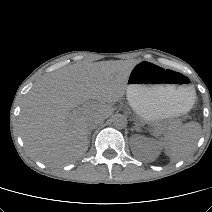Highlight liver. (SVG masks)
Listing matches in <instances>:
<instances>
[{"label": "liver", "instance_id": "liver-1", "mask_svg": "<svg viewBox=\"0 0 212 212\" xmlns=\"http://www.w3.org/2000/svg\"><path fill=\"white\" fill-rule=\"evenodd\" d=\"M135 63H76L48 75L29 92L20 113L19 129L28 153L48 165L79 159L89 145L87 119L109 117L126 93ZM95 101L78 113L77 106Z\"/></svg>", "mask_w": 212, "mask_h": 212}]
</instances>
